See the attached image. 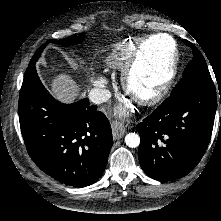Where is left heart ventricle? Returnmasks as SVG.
<instances>
[{"label":"left heart ventricle","mask_w":221,"mask_h":221,"mask_svg":"<svg viewBox=\"0 0 221 221\" xmlns=\"http://www.w3.org/2000/svg\"><path fill=\"white\" fill-rule=\"evenodd\" d=\"M171 50L172 43L166 37H156L146 46L136 74V89L142 84L154 83L164 77Z\"/></svg>","instance_id":"obj_1"}]
</instances>
